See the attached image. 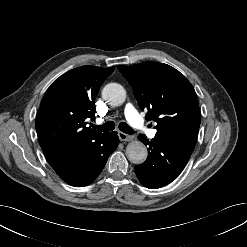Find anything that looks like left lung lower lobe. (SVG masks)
Here are the masks:
<instances>
[{"instance_id": "0a47b994", "label": "left lung lower lobe", "mask_w": 247, "mask_h": 247, "mask_svg": "<svg viewBox=\"0 0 247 247\" xmlns=\"http://www.w3.org/2000/svg\"><path fill=\"white\" fill-rule=\"evenodd\" d=\"M139 140L148 145V158L135 166L140 182L150 189H157L172 182L184 169L195 144L185 139H162L154 137L152 141L143 135Z\"/></svg>"}]
</instances>
